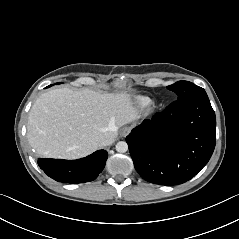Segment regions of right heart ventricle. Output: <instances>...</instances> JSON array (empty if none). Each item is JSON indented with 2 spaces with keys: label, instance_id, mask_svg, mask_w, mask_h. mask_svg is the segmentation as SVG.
I'll use <instances>...</instances> for the list:
<instances>
[{
  "label": "right heart ventricle",
  "instance_id": "e07e8e85",
  "mask_svg": "<svg viewBox=\"0 0 239 239\" xmlns=\"http://www.w3.org/2000/svg\"><path fill=\"white\" fill-rule=\"evenodd\" d=\"M137 101H138V103L140 104V105H142V106H146V105H148L149 104V99L148 98H146V97H138L137 98Z\"/></svg>",
  "mask_w": 239,
  "mask_h": 239
}]
</instances>
